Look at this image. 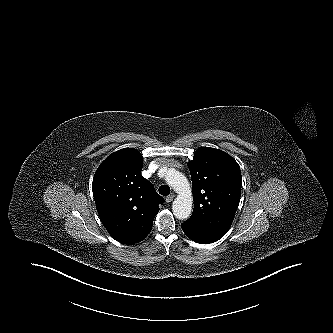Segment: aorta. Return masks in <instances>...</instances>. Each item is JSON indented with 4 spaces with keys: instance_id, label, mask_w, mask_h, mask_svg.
I'll return each mask as SVG.
<instances>
[{
    "instance_id": "1",
    "label": "aorta",
    "mask_w": 333,
    "mask_h": 333,
    "mask_svg": "<svg viewBox=\"0 0 333 333\" xmlns=\"http://www.w3.org/2000/svg\"><path fill=\"white\" fill-rule=\"evenodd\" d=\"M166 181L178 193L175 198L172 211L177 219H188L192 211V192L187 178L174 169H170L167 173Z\"/></svg>"
}]
</instances>
